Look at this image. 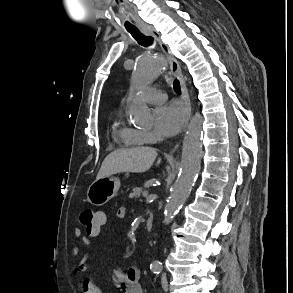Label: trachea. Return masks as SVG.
I'll list each match as a JSON object with an SVG mask.
<instances>
[{"instance_id": "3493384b", "label": "trachea", "mask_w": 293, "mask_h": 293, "mask_svg": "<svg viewBox=\"0 0 293 293\" xmlns=\"http://www.w3.org/2000/svg\"><path fill=\"white\" fill-rule=\"evenodd\" d=\"M127 31L137 40L140 45L147 47L153 44V37L142 34L137 28L127 29ZM173 87L177 93H180V83L178 80L175 81Z\"/></svg>"}]
</instances>
